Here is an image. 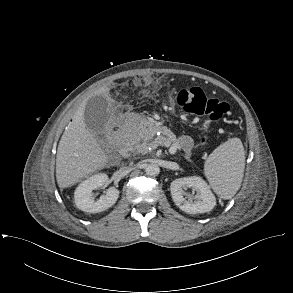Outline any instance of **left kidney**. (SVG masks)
Wrapping results in <instances>:
<instances>
[{
    "label": "left kidney",
    "mask_w": 293,
    "mask_h": 293,
    "mask_svg": "<svg viewBox=\"0 0 293 293\" xmlns=\"http://www.w3.org/2000/svg\"><path fill=\"white\" fill-rule=\"evenodd\" d=\"M193 188L197 192V199L185 191ZM170 191L176 206L189 214L211 211L216 205V198L207 183L199 176L178 178L171 182Z\"/></svg>",
    "instance_id": "obj_1"
}]
</instances>
